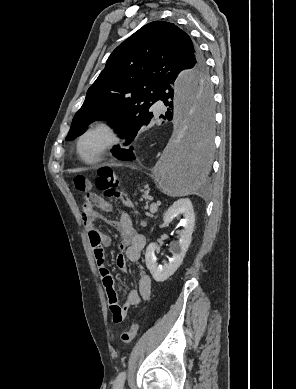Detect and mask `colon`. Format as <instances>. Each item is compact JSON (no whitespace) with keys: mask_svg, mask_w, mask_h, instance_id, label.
I'll use <instances>...</instances> for the list:
<instances>
[{"mask_svg":"<svg viewBox=\"0 0 296 389\" xmlns=\"http://www.w3.org/2000/svg\"><path fill=\"white\" fill-rule=\"evenodd\" d=\"M74 188L84 194L89 193L91 189L90 181L82 175L76 176L73 180ZM119 182L115 172L110 167L100 168L97 172L96 187L108 198H123L122 193L118 189ZM124 204L132 207V202L124 198ZM113 321L120 323L123 318L122 314L117 311L113 315ZM138 333V324L133 322L130 328L121 334V341L125 344L130 343Z\"/></svg>","mask_w":296,"mask_h":389,"instance_id":"colon-1","label":"colon"}]
</instances>
